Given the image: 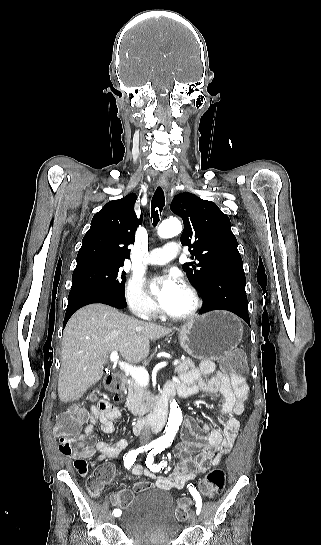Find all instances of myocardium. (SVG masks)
Wrapping results in <instances>:
<instances>
[{"label":"myocardium","instance_id":"myocardium-1","mask_svg":"<svg viewBox=\"0 0 321 545\" xmlns=\"http://www.w3.org/2000/svg\"><path fill=\"white\" fill-rule=\"evenodd\" d=\"M181 287L185 289L186 291H188L190 295L192 296L194 301L193 308L188 313H185V314H171V313L165 312V315L167 318H170L172 320L188 321L195 318L200 313L203 307V299L201 297L200 292L192 284L185 282L182 284Z\"/></svg>","mask_w":321,"mask_h":545}]
</instances>
